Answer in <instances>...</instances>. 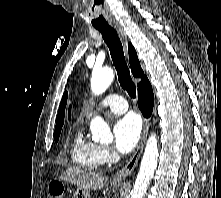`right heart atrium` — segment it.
<instances>
[{"instance_id":"1","label":"right heart atrium","mask_w":221,"mask_h":198,"mask_svg":"<svg viewBox=\"0 0 221 198\" xmlns=\"http://www.w3.org/2000/svg\"><path fill=\"white\" fill-rule=\"evenodd\" d=\"M100 156L103 164H109L116 160V153L110 146H100Z\"/></svg>"}]
</instances>
